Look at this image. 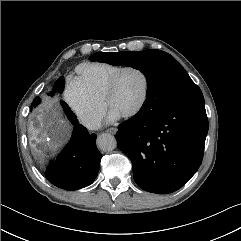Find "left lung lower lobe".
<instances>
[{
	"label": "left lung lower lobe",
	"mask_w": 241,
	"mask_h": 241,
	"mask_svg": "<svg viewBox=\"0 0 241 241\" xmlns=\"http://www.w3.org/2000/svg\"><path fill=\"white\" fill-rule=\"evenodd\" d=\"M118 129L117 146L131 159L136 183L166 194L181 188L201 165L208 119L204 102L168 106L156 92Z\"/></svg>",
	"instance_id": "0a47b994"
}]
</instances>
